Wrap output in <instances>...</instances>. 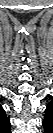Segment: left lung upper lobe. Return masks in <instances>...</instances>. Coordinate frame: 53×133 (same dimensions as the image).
<instances>
[{
    "instance_id": "obj_1",
    "label": "left lung upper lobe",
    "mask_w": 53,
    "mask_h": 133,
    "mask_svg": "<svg viewBox=\"0 0 53 133\" xmlns=\"http://www.w3.org/2000/svg\"><path fill=\"white\" fill-rule=\"evenodd\" d=\"M52 117H53V106L52 103H50L45 110V118L43 121V125L45 127L53 122Z\"/></svg>"
}]
</instances>
